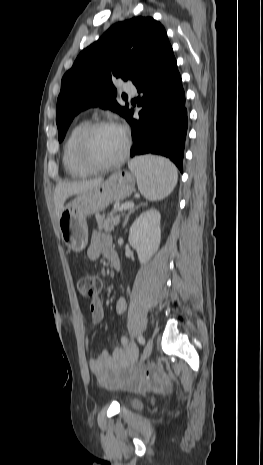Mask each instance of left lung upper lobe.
<instances>
[{"mask_svg": "<svg viewBox=\"0 0 263 465\" xmlns=\"http://www.w3.org/2000/svg\"><path fill=\"white\" fill-rule=\"evenodd\" d=\"M168 43L159 22L151 17H134L114 24L84 49L62 78L56 116L59 141L74 116L88 107L111 109L126 118L128 105L122 107L115 100L112 80L134 82Z\"/></svg>", "mask_w": 263, "mask_h": 465, "instance_id": "obj_1", "label": "left lung upper lobe"}]
</instances>
